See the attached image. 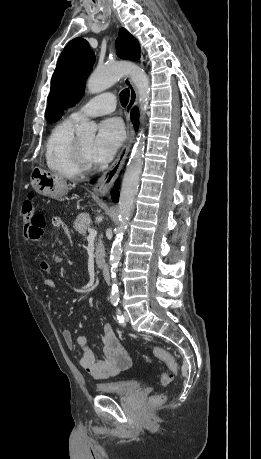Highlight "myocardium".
Instances as JSON below:
<instances>
[{"instance_id":"1","label":"myocardium","mask_w":261,"mask_h":459,"mask_svg":"<svg viewBox=\"0 0 261 459\" xmlns=\"http://www.w3.org/2000/svg\"><path fill=\"white\" fill-rule=\"evenodd\" d=\"M74 157L81 171H89L92 169V160L86 155L79 138H75L74 141Z\"/></svg>"}]
</instances>
